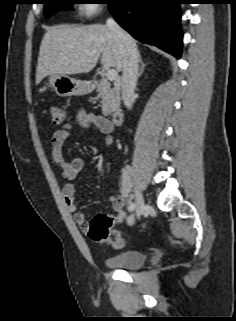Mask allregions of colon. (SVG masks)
<instances>
[{"mask_svg": "<svg viewBox=\"0 0 236 321\" xmlns=\"http://www.w3.org/2000/svg\"><path fill=\"white\" fill-rule=\"evenodd\" d=\"M51 116L54 125H60L66 119L65 111L59 106L51 107ZM119 219V214H99L88 223L86 232L92 240L120 249L124 246V240L120 232L113 228Z\"/></svg>", "mask_w": 236, "mask_h": 321, "instance_id": "obj_1", "label": "colon"}]
</instances>
